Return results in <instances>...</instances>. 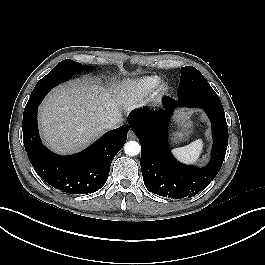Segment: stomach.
<instances>
[{"label":"stomach","instance_id":"stomach-1","mask_svg":"<svg viewBox=\"0 0 265 265\" xmlns=\"http://www.w3.org/2000/svg\"><path fill=\"white\" fill-rule=\"evenodd\" d=\"M176 121L179 126L182 128V131L173 133V140L178 141L184 139L190 133L192 127V122L182 113L176 115Z\"/></svg>","mask_w":265,"mask_h":265}]
</instances>
